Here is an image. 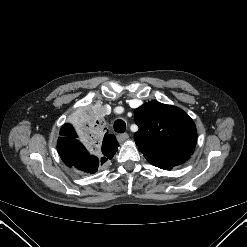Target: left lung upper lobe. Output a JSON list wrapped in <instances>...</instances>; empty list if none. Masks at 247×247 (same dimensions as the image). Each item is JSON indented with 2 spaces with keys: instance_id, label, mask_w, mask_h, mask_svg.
I'll list each match as a JSON object with an SVG mask.
<instances>
[{
  "instance_id": "5c2ea615",
  "label": "left lung upper lobe",
  "mask_w": 247,
  "mask_h": 247,
  "mask_svg": "<svg viewBox=\"0 0 247 247\" xmlns=\"http://www.w3.org/2000/svg\"><path fill=\"white\" fill-rule=\"evenodd\" d=\"M139 130L134 139L155 166H178L193 154L197 130L193 120L172 105L149 101L134 111Z\"/></svg>"
}]
</instances>
